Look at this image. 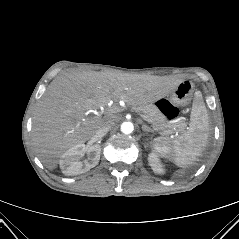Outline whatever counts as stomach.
I'll return each instance as SVG.
<instances>
[{"instance_id":"1","label":"stomach","mask_w":239,"mask_h":239,"mask_svg":"<svg viewBox=\"0 0 239 239\" xmlns=\"http://www.w3.org/2000/svg\"><path fill=\"white\" fill-rule=\"evenodd\" d=\"M194 84L189 80H182L171 91L170 97H161L156 105L161 109L163 117L169 122H178L185 115V106L191 99Z\"/></svg>"}]
</instances>
